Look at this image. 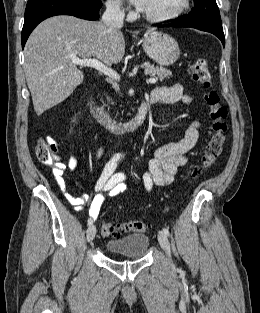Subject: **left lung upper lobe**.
Here are the masks:
<instances>
[{"label":"left lung upper lobe","instance_id":"obj_1","mask_svg":"<svg viewBox=\"0 0 260 313\" xmlns=\"http://www.w3.org/2000/svg\"><path fill=\"white\" fill-rule=\"evenodd\" d=\"M195 8L187 15L178 17L199 27L223 30L221 17L215 0H194Z\"/></svg>","mask_w":260,"mask_h":313}]
</instances>
